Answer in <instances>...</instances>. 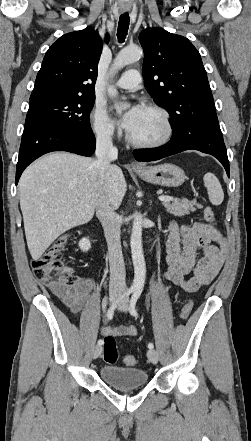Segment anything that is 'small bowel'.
Returning <instances> with one entry per match:
<instances>
[{
    "label": "small bowel",
    "instance_id": "1",
    "mask_svg": "<svg viewBox=\"0 0 251 441\" xmlns=\"http://www.w3.org/2000/svg\"><path fill=\"white\" fill-rule=\"evenodd\" d=\"M223 245L220 233L208 224L195 222L180 226L175 221L170 222L166 241L165 277L186 292H197L217 276L224 262ZM200 250L203 256L199 258ZM191 272L193 276L187 279L186 276ZM92 288L90 279L80 278L77 285L66 291H57L52 287L51 290L77 316ZM100 331L104 337H131L137 334L132 325L102 326Z\"/></svg>",
    "mask_w": 251,
    "mask_h": 441
}]
</instances>
